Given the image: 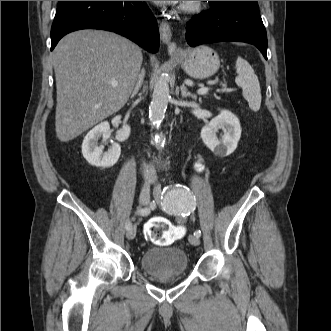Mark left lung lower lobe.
I'll return each mask as SVG.
<instances>
[{
	"label": "left lung lower lobe",
	"instance_id": "left-lung-lower-lobe-1",
	"mask_svg": "<svg viewBox=\"0 0 331 331\" xmlns=\"http://www.w3.org/2000/svg\"><path fill=\"white\" fill-rule=\"evenodd\" d=\"M186 25L187 43L240 41L255 45L267 59V35L257 1H214Z\"/></svg>",
	"mask_w": 331,
	"mask_h": 331
}]
</instances>
